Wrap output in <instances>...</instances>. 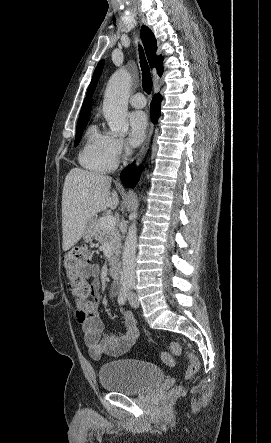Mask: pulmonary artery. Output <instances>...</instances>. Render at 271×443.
I'll return each mask as SVG.
<instances>
[{
    "mask_svg": "<svg viewBox=\"0 0 271 443\" xmlns=\"http://www.w3.org/2000/svg\"><path fill=\"white\" fill-rule=\"evenodd\" d=\"M129 103L135 108H143L146 105V98L142 93L132 94Z\"/></svg>",
    "mask_w": 271,
    "mask_h": 443,
    "instance_id": "obj_1",
    "label": "pulmonary artery"
}]
</instances>
